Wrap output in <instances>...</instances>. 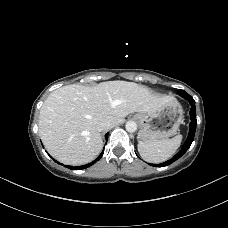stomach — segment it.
<instances>
[{
	"instance_id": "1",
	"label": "stomach",
	"mask_w": 228,
	"mask_h": 228,
	"mask_svg": "<svg viewBox=\"0 0 228 228\" xmlns=\"http://www.w3.org/2000/svg\"><path fill=\"white\" fill-rule=\"evenodd\" d=\"M140 124L138 137L143 141H160L173 136L183 120V111L177 100L171 98L153 112L137 113Z\"/></svg>"
}]
</instances>
